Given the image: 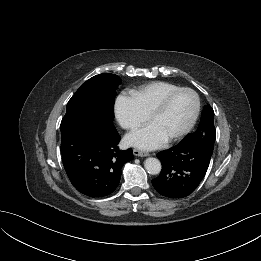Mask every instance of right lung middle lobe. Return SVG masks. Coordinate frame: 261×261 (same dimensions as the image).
Returning a JSON list of instances; mask_svg holds the SVG:
<instances>
[{"label":"right lung middle lobe","instance_id":"1","mask_svg":"<svg viewBox=\"0 0 261 261\" xmlns=\"http://www.w3.org/2000/svg\"><path fill=\"white\" fill-rule=\"evenodd\" d=\"M121 79L104 73L87 80L67 103L60 125L61 134L73 127L93 123H113L116 89Z\"/></svg>","mask_w":261,"mask_h":261}]
</instances>
